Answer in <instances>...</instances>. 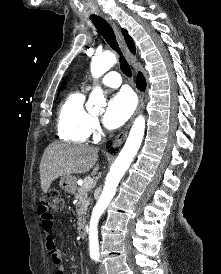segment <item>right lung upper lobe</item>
<instances>
[{
	"label": "right lung upper lobe",
	"instance_id": "right-lung-upper-lobe-1",
	"mask_svg": "<svg viewBox=\"0 0 221 274\" xmlns=\"http://www.w3.org/2000/svg\"><path fill=\"white\" fill-rule=\"evenodd\" d=\"M122 33L124 35L125 41L129 47L130 51L135 53V46H134V42H133L132 38L128 35V32L126 30L122 29ZM64 83H65V81H64ZM64 83L62 84L60 89H62V87L64 86Z\"/></svg>",
	"mask_w": 221,
	"mask_h": 274
}]
</instances>
